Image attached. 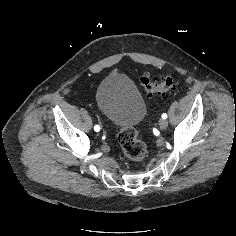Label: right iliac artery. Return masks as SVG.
Segmentation results:
<instances>
[{"label":"right iliac artery","mask_w":236,"mask_h":236,"mask_svg":"<svg viewBox=\"0 0 236 236\" xmlns=\"http://www.w3.org/2000/svg\"><path fill=\"white\" fill-rule=\"evenodd\" d=\"M94 130H95L96 132L100 131V126H99V125H95V126H94Z\"/></svg>","instance_id":"obj_1"}]
</instances>
